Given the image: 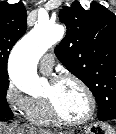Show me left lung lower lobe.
Masks as SVG:
<instances>
[{"instance_id":"0a47b994","label":"left lung lower lobe","mask_w":116,"mask_h":134,"mask_svg":"<svg viewBox=\"0 0 116 134\" xmlns=\"http://www.w3.org/2000/svg\"><path fill=\"white\" fill-rule=\"evenodd\" d=\"M99 119V118H98ZM112 119H116V115H113L109 118H107L106 120H112ZM100 121H105V120H102V119H99Z\"/></svg>"}]
</instances>
